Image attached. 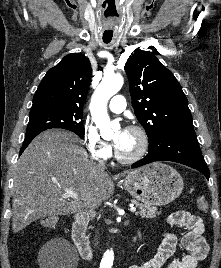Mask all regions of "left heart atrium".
I'll list each match as a JSON object with an SVG mask.
<instances>
[{
  "instance_id": "obj_1",
  "label": "left heart atrium",
  "mask_w": 221,
  "mask_h": 268,
  "mask_svg": "<svg viewBox=\"0 0 221 268\" xmlns=\"http://www.w3.org/2000/svg\"><path fill=\"white\" fill-rule=\"evenodd\" d=\"M127 131L123 130L120 132L118 139L115 141V147L116 149H119L121 145L123 144V141L126 137Z\"/></svg>"
}]
</instances>
